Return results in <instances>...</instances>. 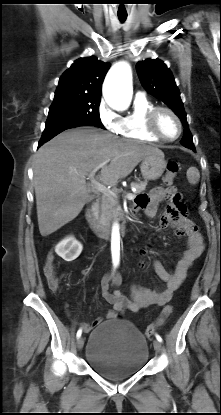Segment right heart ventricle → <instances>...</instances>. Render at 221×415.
<instances>
[{"label":"right heart ventricle","instance_id":"obj_1","mask_svg":"<svg viewBox=\"0 0 221 415\" xmlns=\"http://www.w3.org/2000/svg\"><path fill=\"white\" fill-rule=\"evenodd\" d=\"M154 106V103L144 95L136 96L132 111L121 117L118 134L125 138L146 142H158L159 139L151 135L146 128V115Z\"/></svg>","mask_w":221,"mask_h":415}]
</instances>
